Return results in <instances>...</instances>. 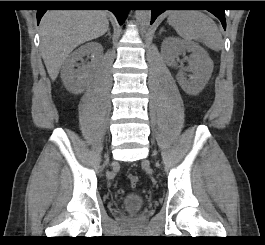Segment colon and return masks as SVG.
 <instances>
[{
    "mask_svg": "<svg viewBox=\"0 0 265 245\" xmlns=\"http://www.w3.org/2000/svg\"><path fill=\"white\" fill-rule=\"evenodd\" d=\"M138 180H139V178L137 175H134V174L129 175V182H130L131 186H133V187L136 186V184L138 183Z\"/></svg>",
    "mask_w": 265,
    "mask_h": 245,
    "instance_id": "obj_1",
    "label": "colon"
}]
</instances>
